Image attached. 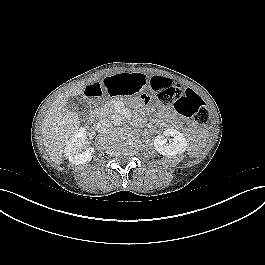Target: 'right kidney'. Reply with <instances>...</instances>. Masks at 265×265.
I'll return each instance as SVG.
<instances>
[{
  "label": "right kidney",
  "instance_id": "right-kidney-1",
  "mask_svg": "<svg viewBox=\"0 0 265 265\" xmlns=\"http://www.w3.org/2000/svg\"><path fill=\"white\" fill-rule=\"evenodd\" d=\"M87 139L86 129L81 127L76 130L66 142L64 156L74 165H83L89 163L95 152L93 147L82 149Z\"/></svg>",
  "mask_w": 265,
  "mask_h": 265
}]
</instances>
